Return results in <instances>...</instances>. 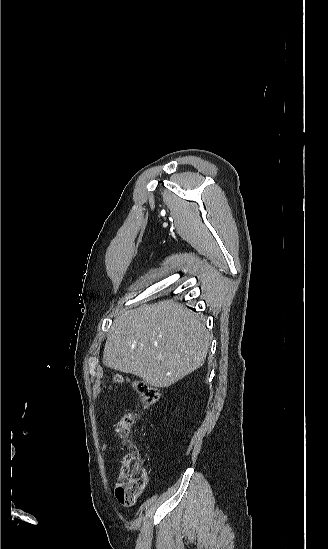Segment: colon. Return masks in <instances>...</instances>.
Masks as SVG:
<instances>
[{"label":"colon","instance_id":"colon-1","mask_svg":"<svg viewBox=\"0 0 328 549\" xmlns=\"http://www.w3.org/2000/svg\"><path fill=\"white\" fill-rule=\"evenodd\" d=\"M122 377H117L116 382H123ZM134 390L138 393L144 407H150L159 400L157 388L144 381L132 382ZM137 414L130 413L122 417L118 424V435L127 441L130 430L136 421ZM149 481L148 473L135 460V454L130 451L122 460L119 482L115 491L117 499L121 503H134L144 492Z\"/></svg>","mask_w":328,"mask_h":549}]
</instances>
